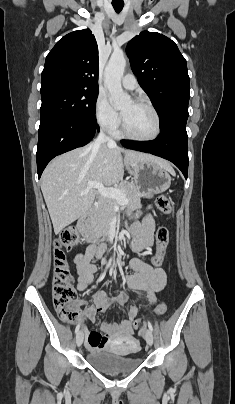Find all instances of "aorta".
I'll use <instances>...</instances> for the list:
<instances>
[{
  "instance_id": "1",
  "label": "aorta",
  "mask_w": 235,
  "mask_h": 404,
  "mask_svg": "<svg viewBox=\"0 0 235 404\" xmlns=\"http://www.w3.org/2000/svg\"><path fill=\"white\" fill-rule=\"evenodd\" d=\"M125 66L124 55L113 53L105 68L104 83L110 94V103L116 108H121L131 102L130 96L123 91L121 86Z\"/></svg>"
}]
</instances>
